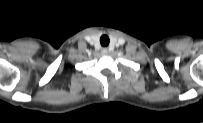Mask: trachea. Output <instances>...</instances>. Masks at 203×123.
Returning <instances> with one entry per match:
<instances>
[{"mask_svg":"<svg viewBox=\"0 0 203 123\" xmlns=\"http://www.w3.org/2000/svg\"><path fill=\"white\" fill-rule=\"evenodd\" d=\"M100 43H101V45L102 46H108V44H109V37L107 36V35H103V36H101V38H100Z\"/></svg>","mask_w":203,"mask_h":123,"instance_id":"3493384b","label":"trachea"}]
</instances>
